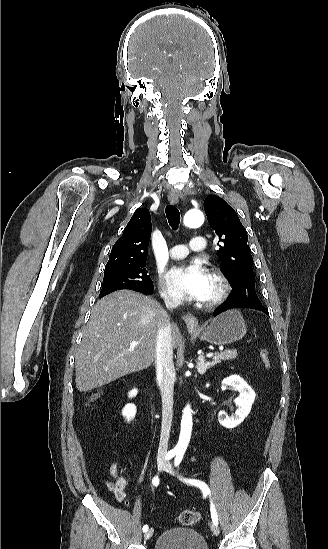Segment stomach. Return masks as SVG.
Masks as SVG:
<instances>
[{
    "label": "stomach",
    "mask_w": 328,
    "mask_h": 549,
    "mask_svg": "<svg viewBox=\"0 0 328 549\" xmlns=\"http://www.w3.org/2000/svg\"><path fill=\"white\" fill-rule=\"evenodd\" d=\"M246 335V323L237 309H229L214 317L208 327L200 331L201 341H207L211 345H229L240 341Z\"/></svg>",
    "instance_id": "obj_1"
}]
</instances>
